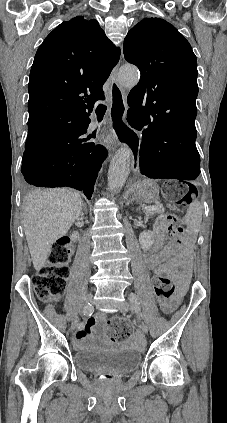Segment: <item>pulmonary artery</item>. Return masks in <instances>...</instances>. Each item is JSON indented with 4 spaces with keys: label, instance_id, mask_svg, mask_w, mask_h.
Masks as SVG:
<instances>
[{
    "label": "pulmonary artery",
    "instance_id": "e3ab8cb5",
    "mask_svg": "<svg viewBox=\"0 0 227 423\" xmlns=\"http://www.w3.org/2000/svg\"><path fill=\"white\" fill-rule=\"evenodd\" d=\"M91 125H92V126H95V125H97V123L93 122V123H91Z\"/></svg>",
    "mask_w": 227,
    "mask_h": 423
}]
</instances>
